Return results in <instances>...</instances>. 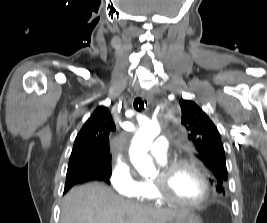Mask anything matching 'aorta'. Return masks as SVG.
<instances>
[{
    "mask_svg": "<svg viewBox=\"0 0 267 223\" xmlns=\"http://www.w3.org/2000/svg\"><path fill=\"white\" fill-rule=\"evenodd\" d=\"M160 133V126L157 122H147L137 131L133 137L129 150L130 160L135 169L143 176L153 174L155 166L147 152L152 141Z\"/></svg>",
    "mask_w": 267,
    "mask_h": 223,
    "instance_id": "obj_1",
    "label": "aorta"
}]
</instances>
